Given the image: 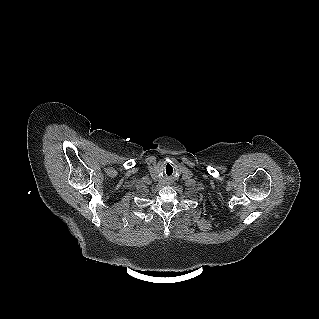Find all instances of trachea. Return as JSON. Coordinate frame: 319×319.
<instances>
[{
    "label": "trachea",
    "instance_id": "trachea-1",
    "mask_svg": "<svg viewBox=\"0 0 319 319\" xmlns=\"http://www.w3.org/2000/svg\"><path fill=\"white\" fill-rule=\"evenodd\" d=\"M173 174V167L168 163L165 168V175L171 176Z\"/></svg>",
    "mask_w": 319,
    "mask_h": 319
}]
</instances>
